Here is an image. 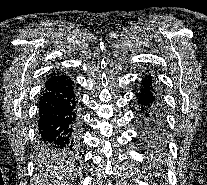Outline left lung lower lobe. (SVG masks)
I'll use <instances>...</instances> for the list:
<instances>
[{"label": "left lung lower lobe", "instance_id": "left-lung-lower-lobe-1", "mask_svg": "<svg viewBox=\"0 0 207 185\" xmlns=\"http://www.w3.org/2000/svg\"><path fill=\"white\" fill-rule=\"evenodd\" d=\"M157 92L151 75L142 77L140 93L136 95L140 104L141 121L144 126L145 143L156 148L160 146V111L156 104Z\"/></svg>", "mask_w": 207, "mask_h": 185}]
</instances>
